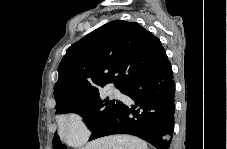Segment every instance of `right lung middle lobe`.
I'll return each mask as SVG.
<instances>
[{
  "instance_id": "dd1d6c3e",
  "label": "right lung middle lobe",
  "mask_w": 227,
  "mask_h": 149,
  "mask_svg": "<svg viewBox=\"0 0 227 149\" xmlns=\"http://www.w3.org/2000/svg\"><path fill=\"white\" fill-rule=\"evenodd\" d=\"M117 88L124 93V87ZM101 88L95 89L83 97L65 102L61 107L56 108L59 113L76 112L80 114L91 131L110 118L122 105L121 101L100 98ZM54 149H66L62 145L59 136L53 139Z\"/></svg>"
}]
</instances>
